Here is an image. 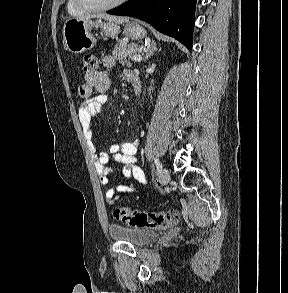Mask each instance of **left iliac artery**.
<instances>
[{"mask_svg":"<svg viewBox=\"0 0 288 293\" xmlns=\"http://www.w3.org/2000/svg\"><path fill=\"white\" fill-rule=\"evenodd\" d=\"M154 163L157 168V174H159L161 172L162 164L160 163L158 158H154Z\"/></svg>","mask_w":288,"mask_h":293,"instance_id":"obj_1","label":"left iliac artery"}]
</instances>
